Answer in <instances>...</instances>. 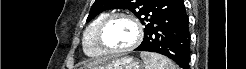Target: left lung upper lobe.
<instances>
[{"instance_id": "left-lung-upper-lobe-1", "label": "left lung upper lobe", "mask_w": 246, "mask_h": 69, "mask_svg": "<svg viewBox=\"0 0 246 69\" xmlns=\"http://www.w3.org/2000/svg\"><path fill=\"white\" fill-rule=\"evenodd\" d=\"M177 1L178 0H95L87 22L105 10L121 8L133 12L145 26V30L166 14Z\"/></svg>"}]
</instances>
